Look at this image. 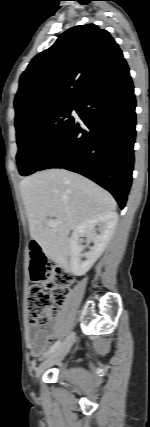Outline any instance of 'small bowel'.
<instances>
[{"label":"small bowel","mask_w":150,"mask_h":427,"mask_svg":"<svg viewBox=\"0 0 150 427\" xmlns=\"http://www.w3.org/2000/svg\"><path fill=\"white\" fill-rule=\"evenodd\" d=\"M52 337V327L33 329L29 332V353L31 357L41 356Z\"/></svg>","instance_id":"small-bowel-1"}]
</instances>
